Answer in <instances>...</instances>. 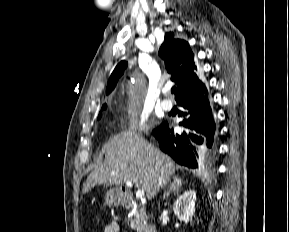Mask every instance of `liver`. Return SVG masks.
<instances>
[{"mask_svg": "<svg viewBox=\"0 0 289 232\" xmlns=\"http://www.w3.org/2000/svg\"><path fill=\"white\" fill-rule=\"evenodd\" d=\"M102 152L105 159L88 176L82 190L84 194L97 185L119 186L131 181L151 200L158 192L161 174L167 181L175 173V163L168 155L133 132L112 136Z\"/></svg>", "mask_w": 289, "mask_h": 232, "instance_id": "6515ba94", "label": "liver"}]
</instances>
